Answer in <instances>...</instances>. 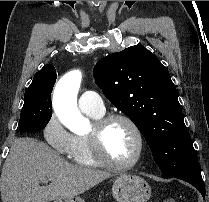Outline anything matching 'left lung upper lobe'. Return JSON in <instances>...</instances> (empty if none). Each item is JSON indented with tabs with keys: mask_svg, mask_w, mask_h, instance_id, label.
Instances as JSON below:
<instances>
[{
	"mask_svg": "<svg viewBox=\"0 0 209 202\" xmlns=\"http://www.w3.org/2000/svg\"><path fill=\"white\" fill-rule=\"evenodd\" d=\"M93 75L107 99L138 127L163 177L198 164L176 87L153 53L131 46L101 59Z\"/></svg>",
	"mask_w": 209,
	"mask_h": 202,
	"instance_id": "left-lung-upper-lobe-1",
	"label": "left lung upper lobe"
}]
</instances>
